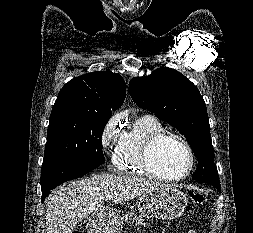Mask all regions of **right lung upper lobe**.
<instances>
[{"instance_id":"obj_1","label":"right lung upper lobe","mask_w":253,"mask_h":233,"mask_svg":"<svg viewBox=\"0 0 253 233\" xmlns=\"http://www.w3.org/2000/svg\"><path fill=\"white\" fill-rule=\"evenodd\" d=\"M123 78L111 71L92 72L70 80L60 90L53 109L68 108L111 114L125 99Z\"/></svg>"}]
</instances>
